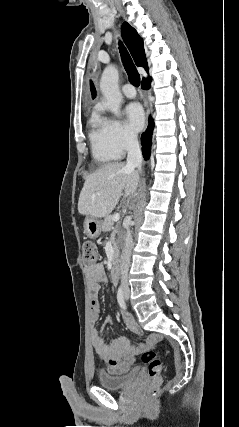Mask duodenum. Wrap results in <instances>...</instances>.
I'll list each match as a JSON object with an SVG mask.
<instances>
[{
    "mask_svg": "<svg viewBox=\"0 0 239 427\" xmlns=\"http://www.w3.org/2000/svg\"><path fill=\"white\" fill-rule=\"evenodd\" d=\"M120 276V268L117 261H114L111 266V278L113 282H117Z\"/></svg>",
    "mask_w": 239,
    "mask_h": 427,
    "instance_id": "410a0bca",
    "label": "duodenum"
}]
</instances>
